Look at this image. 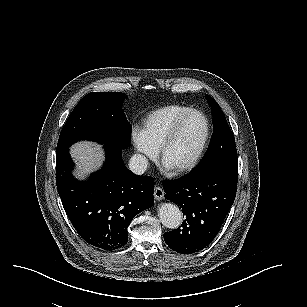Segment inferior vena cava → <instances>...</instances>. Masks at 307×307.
Here are the masks:
<instances>
[{
	"label": "inferior vena cava",
	"mask_w": 307,
	"mask_h": 307,
	"mask_svg": "<svg viewBox=\"0 0 307 307\" xmlns=\"http://www.w3.org/2000/svg\"><path fill=\"white\" fill-rule=\"evenodd\" d=\"M129 169L136 175H143L147 170L148 159L142 154H134L129 159Z\"/></svg>",
	"instance_id": "1"
}]
</instances>
